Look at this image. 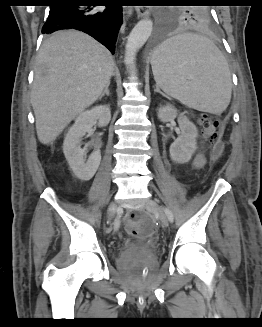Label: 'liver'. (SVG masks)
<instances>
[{"label": "liver", "mask_w": 262, "mask_h": 327, "mask_svg": "<svg viewBox=\"0 0 262 327\" xmlns=\"http://www.w3.org/2000/svg\"><path fill=\"white\" fill-rule=\"evenodd\" d=\"M111 53L89 35L58 31L44 41L37 57L31 104L38 139L51 144L110 84Z\"/></svg>", "instance_id": "liver-1"}]
</instances>
